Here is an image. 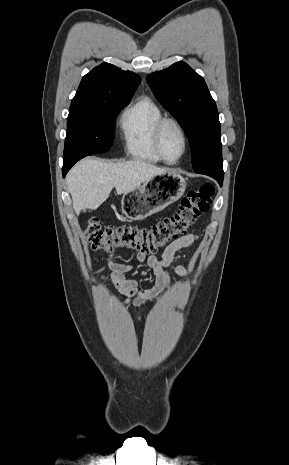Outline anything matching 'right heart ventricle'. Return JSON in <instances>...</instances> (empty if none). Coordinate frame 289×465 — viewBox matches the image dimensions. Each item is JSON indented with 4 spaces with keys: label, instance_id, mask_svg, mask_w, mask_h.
Here are the masks:
<instances>
[{
    "label": "right heart ventricle",
    "instance_id": "right-heart-ventricle-1",
    "mask_svg": "<svg viewBox=\"0 0 289 465\" xmlns=\"http://www.w3.org/2000/svg\"><path fill=\"white\" fill-rule=\"evenodd\" d=\"M163 117L159 106L149 97H141L127 107L120 118V129L127 152L149 163L162 160L154 147V129Z\"/></svg>",
    "mask_w": 289,
    "mask_h": 465
}]
</instances>
